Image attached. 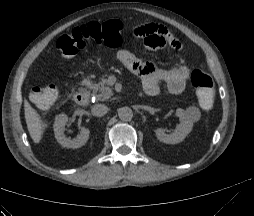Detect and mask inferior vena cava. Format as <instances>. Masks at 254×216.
Here are the masks:
<instances>
[{"mask_svg":"<svg viewBox=\"0 0 254 216\" xmlns=\"http://www.w3.org/2000/svg\"><path fill=\"white\" fill-rule=\"evenodd\" d=\"M109 111V108L104 104L94 105L91 109V112L94 116L101 117Z\"/></svg>","mask_w":254,"mask_h":216,"instance_id":"inferior-vena-cava-1","label":"inferior vena cava"}]
</instances>
